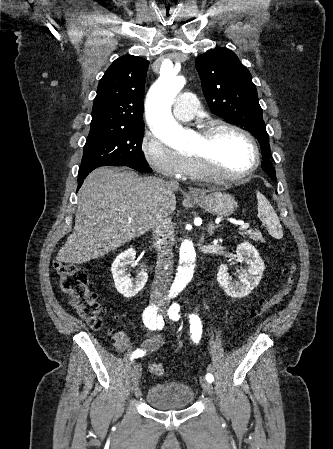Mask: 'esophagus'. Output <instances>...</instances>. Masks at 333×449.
Wrapping results in <instances>:
<instances>
[{
    "mask_svg": "<svg viewBox=\"0 0 333 449\" xmlns=\"http://www.w3.org/2000/svg\"><path fill=\"white\" fill-rule=\"evenodd\" d=\"M188 193L192 197H199V196H201V192L197 188H189Z\"/></svg>",
    "mask_w": 333,
    "mask_h": 449,
    "instance_id": "obj_1",
    "label": "esophagus"
}]
</instances>
